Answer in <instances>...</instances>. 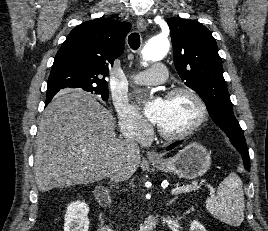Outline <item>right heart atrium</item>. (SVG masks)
Listing matches in <instances>:
<instances>
[{
  "instance_id": "obj_1",
  "label": "right heart atrium",
  "mask_w": 268,
  "mask_h": 231,
  "mask_svg": "<svg viewBox=\"0 0 268 231\" xmlns=\"http://www.w3.org/2000/svg\"><path fill=\"white\" fill-rule=\"evenodd\" d=\"M116 110L121 131L130 138H141L149 131V125L127 101H118Z\"/></svg>"
}]
</instances>
